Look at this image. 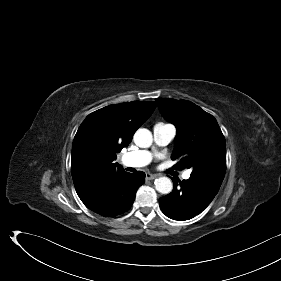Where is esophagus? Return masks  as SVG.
Masks as SVG:
<instances>
[{"label":"esophagus","instance_id":"esophagus-1","mask_svg":"<svg viewBox=\"0 0 281 281\" xmlns=\"http://www.w3.org/2000/svg\"><path fill=\"white\" fill-rule=\"evenodd\" d=\"M155 178H157V175H156V174H150V173H147V174H146V179H147V180H153V179H155Z\"/></svg>","mask_w":281,"mask_h":281}]
</instances>
